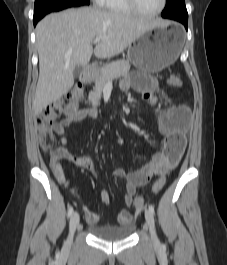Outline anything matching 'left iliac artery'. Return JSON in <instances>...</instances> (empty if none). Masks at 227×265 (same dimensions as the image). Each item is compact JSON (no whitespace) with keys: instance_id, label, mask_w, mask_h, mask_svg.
<instances>
[{"instance_id":"left-iliac-artery-1","label":"left iliac artery","mask_w":227,"mask_h":265,"mask_svg":"<svg viewBox=\"0 0 227 265\" xmlns=\"http://www.w3.org/2000/svg\"><path fill=\"white\" fill-rule=\"evenodd\" d=\"M149 210L151 211V213L154 215L155 211H154V206L152 204L149 205Z\"/></svg>"}]
</instances>
